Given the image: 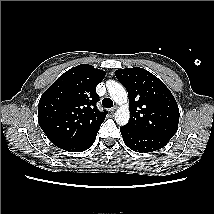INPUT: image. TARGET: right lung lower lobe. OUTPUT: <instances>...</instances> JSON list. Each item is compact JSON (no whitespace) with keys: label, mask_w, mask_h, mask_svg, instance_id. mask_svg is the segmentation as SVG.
<instances>
[{"label":"right lung lower lobe","mask_w":214,"mask_h":214,"mask_svg":"<svg viewBox=\"0 0 214 214\" xmlns=\"http://www.w3.org/2000/svg\"><path fill=\"white\" fill-rule=\"evenodd\" d=\"M97 135V134H96ZM96 135L82 148H80L79 150H77L76 152H82L87 150L88 148H90L92 146V144L94 143L95 139H96Z\"/></svg>","instance_id":"obj_1"}]
</instances>
